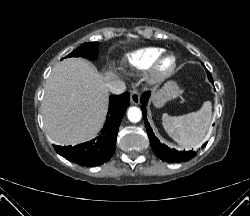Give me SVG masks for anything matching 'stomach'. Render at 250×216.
<instances>
[{
	"instance_id": "1",
	"label": "stomach",
	"mask_w": 250,
	"mask_h": 216,
	"mask_svg": "<svg viewBox=\"0 0 250 216\" xmlns=\"http://www.w3.org/2000/svg\"><path fill=\"white\" fill-rule=\"evenodd\" d=\"M180 92L176 82L168 81L162 89L153 94V103L158 108L162 107L167 101L177 98Z\"/></svg>"
}]
</instances>
